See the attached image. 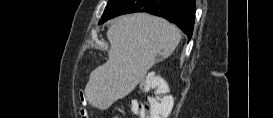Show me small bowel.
<instances>
[{
  "label": "small bowel",
  "instance_id": "1",
  "mask_svg": "<svg viewBox=\"0 0 273 118\" xmlns=\"http://www.w3.org/2000/svg\"><path fill=\"white\" fill-rule=\"evenodd\" d=\"M81 102H85V97L83 95L80 96ZM82 117H88L87 111L85 109H81L80 111Z\"/></svg>",
  "mask_w": 273,
  "mask_h": 118
}]
</instances>
